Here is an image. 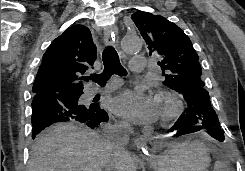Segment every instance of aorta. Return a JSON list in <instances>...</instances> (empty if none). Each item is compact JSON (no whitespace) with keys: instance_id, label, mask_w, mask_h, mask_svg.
Returning a JSON list of instances; mask_svg holds the SVG:
<instances>
[{"instance_id":"762f6f07","label":"aorta","mask_w":245,"mask_h":171,"mask_svg":"<svg viewBox=\"0 0 245 171\" xmlns=\"http://www.w3.org/2000/svg\"><path fill=\"white\" fill-rule=\"evenodd\" d=\"M121 48L125 53H137L142 48V40L138 36H125L121 41Z\"/></svg>"}]
</instances>
